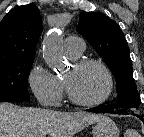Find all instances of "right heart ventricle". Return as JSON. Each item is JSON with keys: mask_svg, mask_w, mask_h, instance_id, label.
I'll use <instances>...</instances> for the list:
<instances>
[{"mask_svg": "<svg viewBox=\"0 0 144 137\" xmlns=\"http://www.w3.org/2000/svg\"><path fill=\"white\" fill-rule=\"evenodd\" d=\"M69 57H70V58H75V57H73V56H70V55H69Z\"/></svg>", "mask_w": 144, "mask_h": 137, "instance_id": "e07e8e85", "label": "right heart ventricle"}]
</instances>
